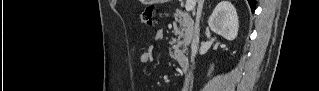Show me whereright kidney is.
Masks as SVG:
<instances>
[{
  "mask_svg": "<svg viewBox=\"0 0 319 91\" xmlns=\"http://www.w3.org/2000/svg\"><path fill=\"white\" fill-rule=\"evenodd\" d=\"M208 25L214 33L227 40H234L239 28L236 9L229 1H221L209 17Z\"/></svg>",
  "mask_w": 319,
  "mask_h": 91,
  "instance_id": "1",
  "label": "right kidney"
}]
</instances>
